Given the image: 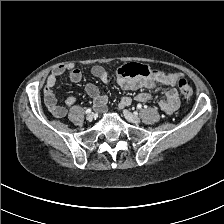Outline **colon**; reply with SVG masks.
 <instances>
[{"mask_svg":"<svg viewBox=\"0 0 224 224\" xmlns=\"http://www.w3.org/2000/svg\"><path fill=\"white\" fill-rule=\"evenodd\" d=\"M154 71L147 65L130 63L121 68L120 75L123 77H145ZM177 88L184 98L189 99L193 96V89L185 78L177 80Z\"/></svg>","mask_w":224,"mask_h":224,"instance_id":"colon-1","label":"colon"}]
</instances>
